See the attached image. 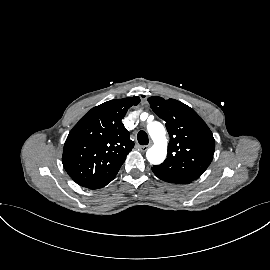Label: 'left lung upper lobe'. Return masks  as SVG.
<instances>
[{"mask_svg": "<svg viewBox=\"0 0 270 270\" xmlns=\"http://www.w3.org/2000/svg\"><path fill=\"white\" fill-rule=\"evenodd\" d=\"M151 109L165 121L170 136L166 160L154 166L194 181L210 165L215 140L201 117L189 106L175 99L148 98Z\"/></svg>", "mask_w": 270, "mask_h": 270, "instance_id": "1", "label": "left lung upper lobe"}]
</instances>
